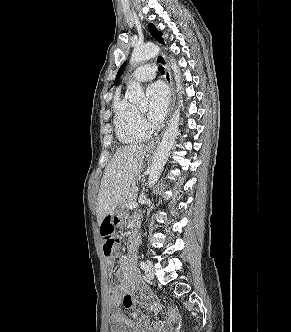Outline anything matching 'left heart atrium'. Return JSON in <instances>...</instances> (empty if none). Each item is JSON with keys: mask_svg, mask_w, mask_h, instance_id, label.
Listing matches in <instances>:
<instances>
[{"mask_svg": "<svg viewBox=\"0 0 291 332\" xmlns=\"http://www.w3.org/2000/svg\"><path fill=\"white\" fill-rule=\"evenodd\" d=\"M147 93L150 98L148 117L152 123H159L163 120L169 102V93L162 83H154L149 86Z\"/></svg>", "mask_w": 291, "mask_h": 332, "instance_id": "left-heart-atrium-1", "label": "left heart atrium"}]
</instances>
